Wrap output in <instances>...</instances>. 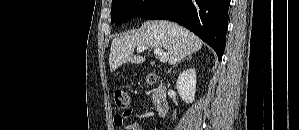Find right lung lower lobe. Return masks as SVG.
<instances>
[{
  "label": "right lung lower lobe",
  "mask_w": 299,
  "mask_h": 130,
  "mask_svg": "<svg viewBox=\"0 0 299 130\" xmlns=\"http://www.w3.org/2000/svg\"><path fill=\"white\" fill-rule=\"evenodd\" d=\"M230 0H156L140 17L167 19L186 27L222 58Z\"/></svg>",
  "instance_id": "98d812e1"
}]
</instances>
